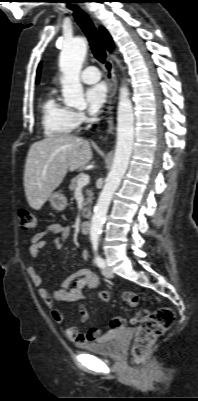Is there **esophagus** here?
<instances>
[{
	"mask_svg": "<svg viewBox=\"0 0 198 401\" xmlns=\"http://www.w3.org/2000/svg\"><path fill=\"white\" fill-rule=\"evenodd\" d=\"M106 74H107V81H108V86H109V95H108V105H107V110H106V115L105 118L108 121V129L105 137H103V140L106 141L108 136L113 133L114 131V117H113V112H114V105L116 101V89H117V84H116V78H115V67L114 63L111 60L110 57L107 58L106 61Z\"/></svg>",
	"mask_w": 198,
	"mask_h": 401,
	"instance_id": "esophagus-1",
	"label": "esophagus"
}]
</instances>
